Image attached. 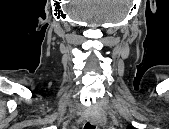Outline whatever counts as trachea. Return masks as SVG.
I'll use <instances>...</instances> for the list:
<instances>
[{
  "instance_id": "obj_1",
  "label": "trachea",
  "mask_w": 169,
  "mask_h": 129,
  "mask_svg": "<svg viewBox=\"0 0 169 129\" xmlns=\"http://www.w3.org/2000/svg\"><path fill=\"white\" fill-rule=\"evenodd\" d=\"M84 129H95V126H93L89 122H87L84 126Z\"/></svg>"
}]
</instances>
